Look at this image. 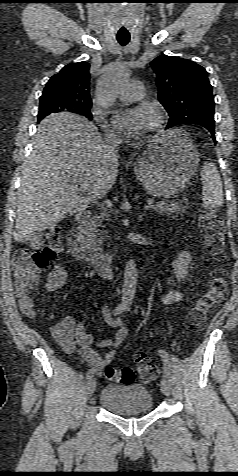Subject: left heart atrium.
<instances>
[{
    "label": "left heart atrium",
    "mask_w": 238,
    "mask_h": 476,
    "mask_svg": "<svg viewBox=\"0 0 238 476\" xmlns=\"http://www.w3.org/2000/svg\"><path fill=\"white\" fill-rule=\"evenodd\" d=\"M151 111L152 110L146 106L126 110L114 117V123L122 131L137 136L151 128L148 126Z\"/></svg>",
    "instance_id": "left-heart-atrium-1"
}]
</instances>
